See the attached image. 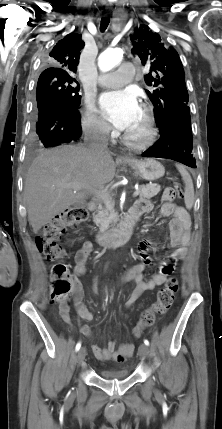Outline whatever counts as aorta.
I'll use <instances>...</instances> for the list:
<instances>
[{
	"label": "aorta",
	"mask_w": 222,
	"mask_h": 429,
	"mask_svg": "<svg viewBox=\"0 0 222 429\" xmlns=\"http://www.w3.org/2000/svg\"><path fill=\"white\" fill-rule=\"evenodd\" d=\"M122 58H123L122 49H119V48L107 49L100 54L98 58V66L102 71L106 72L111 70L117 64H119Z\"/></svg>",
	"instance_id": "762f6f07"
}]
</instances>
